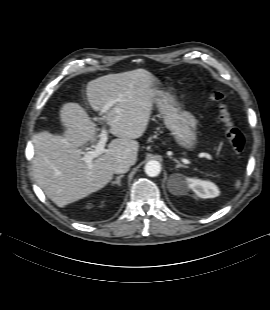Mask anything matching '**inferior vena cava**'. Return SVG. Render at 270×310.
Instances as JSON below:
<instances>
[{"mask_svg": "<svg viewBox=\"0 0 270 310\" xmlns=\"http://www.w3.org/2000/svg\"><path fill=\"white\" fill-rule=\"evenodd\" d=\"M130 163L127 160H119L113 165V172L116 174L126 173L130 168Z\"/></svg>", "mask_w": 270, "mask_h": 310, "instance_id": "602c4592", "label": "inferior vena cava"}]
</instances>
